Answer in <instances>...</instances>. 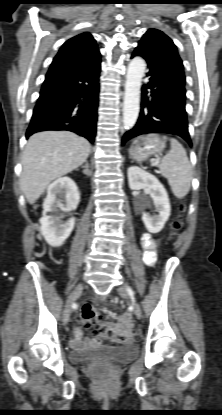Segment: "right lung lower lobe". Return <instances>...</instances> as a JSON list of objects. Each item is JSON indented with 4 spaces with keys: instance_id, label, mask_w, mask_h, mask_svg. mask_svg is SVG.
Wrapping results in <instances>:
<instances>
[{
    "instance_id": "right-lung-lower-lobe-1",
    "label": "right lung lower lobe",
    "mask_w": 222,
    "mask_h": 415,
    "mask_svg": "<svg viewBox=\"0 0 222 415\" xmlns=\"http://www.w3.org/2000/svg\"><path fill=\"white\" fill-rule=\"evenodd\" d=\"M100 56L85 61H53L26 132L68 130L91 143L96 135Z\"/></svg>"
}]
</instances>
